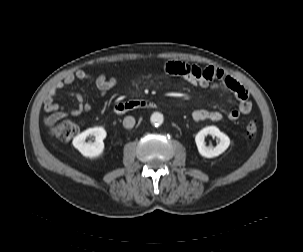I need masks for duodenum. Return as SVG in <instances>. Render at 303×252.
<instances>
[{"instance_id": "duodenum-1", "label": "duodenum", "mask_w": 303, "mask_h": 252, "mask_svg": "<svg viewBox=\"0 0 303 252\" xmlns=\"http://www.w3.org/2000/svg\"><path fill=\"white\" fill-rule=\"evenodd\" d=\"M156 106L155 102L147 99H135L128 102H119L114 106V112L118 115L127 113L128 111L135 109H146L154 108Z\"/></svg>"}]
</instances>
